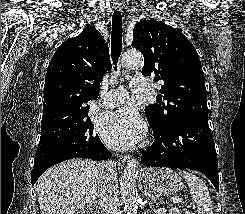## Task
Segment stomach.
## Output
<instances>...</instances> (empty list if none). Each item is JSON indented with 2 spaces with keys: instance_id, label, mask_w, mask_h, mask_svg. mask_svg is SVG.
Returning <instances> with one entry per match:
<instances>
[{
  "instance_id": "obj_1",
  "label": "stomach",
  "mask_w": 245,
  "mask_h": 214,
  "mask_svg": "<svg viewBox=\"0 0 245 214\" xmlns=\"http://www.w3.org/2000/svg\"><path fill=\"white\" fill-rule=\"evenodd\" d=\"M143 178L151 190L163 195H176L184 188L182 179L169 168L145 170Z\"/></svg>"
}]
</instances>
